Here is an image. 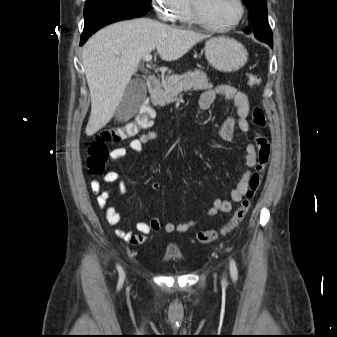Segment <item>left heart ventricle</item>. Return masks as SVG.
Instances as JSON below:
<instances>
[{"mask_svg": "<svg viewBox=\"0 0 337 337\" xmlns=\"http://www.w3.org/2000/svg\"><path fill=\"white\" fill-rule=\"evenodd\" d=\"M203 16L215 24H228L236 19L239 8L236 0H197Z\"/></svg>", "mask_w": 337, "mask_h": 337, "instance_id": "left-heart-ventricle-1", "label": "left heart ventricle"}]
</instances>
